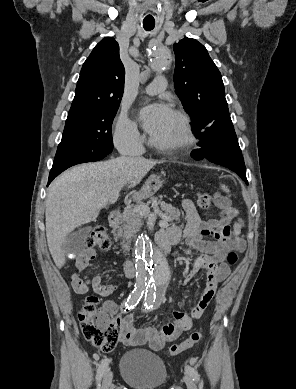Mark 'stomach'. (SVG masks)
Masks as SVG:
<instances>
[{"label": "stomach", "mask_w": 296, "mask_h": 389, "mask_svg": "<svg viewBox=\"0 0 296 389\" xmlns=\"http://www.w3.org/2000/svg\"><path fill=\"white\" fill-rule=\"evenodd\" d=\"M161 186V182L159 180V178L157 177H150L145 185L143 186L141 192H140V196L141 197H149L151 196L154 192H156L159 187Z\"/></svg>", "instance_id": "1"}]
</instances>
